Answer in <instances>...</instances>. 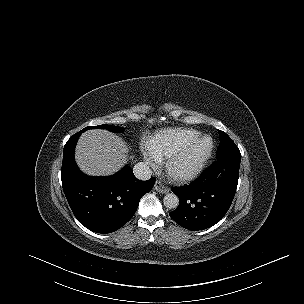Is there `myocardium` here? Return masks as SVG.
I'll return each instance as SVG.
<instances>
[{"label": "myocardium", "mask_w": 304, "mask_h": 304, "mask_svg": "<svg viewBox=\"0 0 304 304\" xmlns=\"http://www.w3.org/2000/svg\"><path fill=\"white\" fill-rule=\"evenodd\" d=\"M208 140L209 146L206 153L198 160V162L187 169H181L180 165L183 159L202 141ZM214 150L213 139L208 135H202L189 143L181 151L171 156L166 163V170L169 177L175 182H188L195 179L203 171L206 164L210 160Z\"/></svg>", "instance_id": "obj_1"}]
</instances>
